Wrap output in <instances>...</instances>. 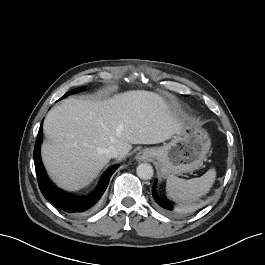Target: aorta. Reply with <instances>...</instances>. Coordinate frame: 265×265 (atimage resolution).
Instances as JSON below:
<instances>
[{
  "instance_id": "762f6f07",
  "label": "aorta",
  "mask_w": 265,
  "mask_h": 265,
  "mask_svg": "<svg viewBox=\"0 0 265 265\" xmlns=\"http://www.w3.org/2000/svg\"><path fill=\"white\" fill-rule=\"evenodd\" d=\"M137 175L142 180H149L153 177V167L148 163H142L137 167Z\"/></svg>"
}]
</instances>
